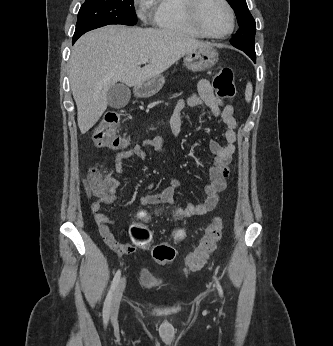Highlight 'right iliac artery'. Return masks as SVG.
Returning <instances> with one entry per match:
<instances>
[{
    "instance_id": "right-iliac-artery-1",
    "label": "right iliac artery",
    "mask_w": 333,
    "mask_h": 346,
    "mask_svg": "<svg viewBox=\"0 0 333 346\" xmlns=\"http://www.w3.org/2000/svg\"><path fill=\"white\" fill-rule=\"evenodd\" d=\"M120 277H121V271L118 270L117 273L115 274L114 278H113L110 290H109V292L107 294V297L105 299V302H104L103 320H104L105 324L107 323V321L109 319L110 308H111V300H112L113 292H114L115 288L117 287V285H118V283L120 281Z\"/></svg>"
}]
</instances>
